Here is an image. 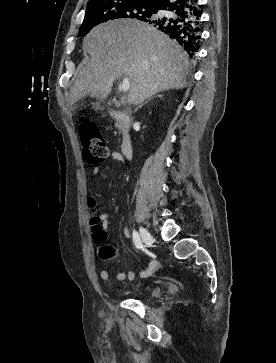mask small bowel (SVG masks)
I'll return each mask as SVG.
<instances>
[{
    "label": "small bowel",
    "instance_id": "small-bowel-1",
    "mask_svg": "<svg viewBox=\"0 0 276 363\" xmlns=\"http://www.w3.org/2000/svg\"><path fill=\"white\" fill-rule=\"evenodd\" d=\"M114 158L117 157L116 154H113L112 155ZM100 173V169L98 167H94L92 169V174L94 176H97L98 174ZM95 203V200L92 199L91 202H90V205H94ZM98 219H99V223H100V226L103 227V228H107L108 227V224H109V220H108V214L107 213H100L98 215ZM124 234L126 236H128V230L127 229H124ZM159 267V264H158V261L156 259H152L149 263V266L144 269V270H141L138 274H136L134 271H128L127 273L125 272H118L115 274L114 276V279L117 280V281H125V280H129V281H134L137 277H140V278H147L149 277L153 272H155ZM100 275V278L104 281H107L110 279V272L109 270L107 269H102L99 273Z\"/></svg>",
    "mask_w": 276,
    "mask_h": 363
}]
</instances>
